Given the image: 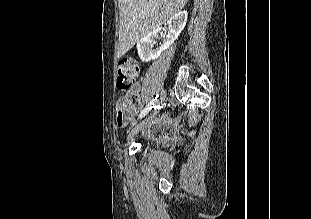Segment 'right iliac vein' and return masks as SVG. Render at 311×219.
Listing matches in <instances>:
<instances>
[{
  "label": "right iliac vein",
  "instance_id": "obj_1",
  "mask_svg": "<svg viewBox=\"0 0 311 219\" xmlns=\"http://www.w3.org/2000/svg\"><path fill=\"white\" fill-rule=\"evenodd\" d=\"M165 98V91L161 92V98L157 100V104L160 105L162 104V102L164 101ZM149 118L144 119L140 124H138L137 126H135L132 131L129 133L128 137H127V141H130L131 139H133V137L140 131L142 130V128L148 123Z\"/></svg>",
  "mask_w": 311,
  "mask_h": 219
}]
</instances>
